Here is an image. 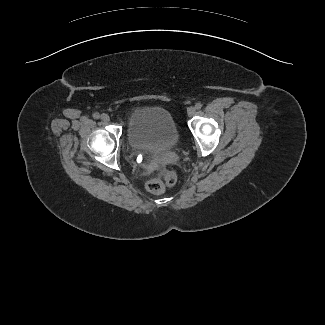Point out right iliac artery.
Wrapping results in <instances>:
<instances>
[{
	"mask_svg": "<svg viewBox=\"0 0 325 325\" xmlns=\"http://www.w3.org/2000/svg\"><path fill=\"white\" fill-rule=\"evenodd\" d=\"M93 118L94 119H99L100 118V114L99 113H94L93 114Z\"/></svg>",
	"mask_w": 325,
	"mask_h": 325,
	"instance_id": "1",
	"label": "right iliac artery"
}]
</instances>
